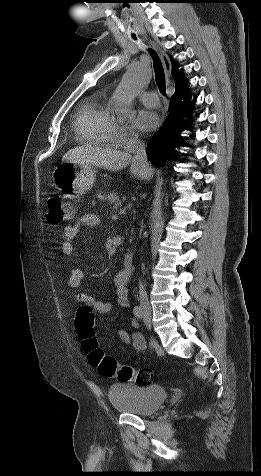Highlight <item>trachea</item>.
Segmentation results:
<instances>
[{"label":"trachea","instance_id":"obj_1","mask_svg":"<svg viewBox=\"0 0 261 476\" xmlns=\"http://www.w3.org/2000/svg\"><path fill=\"white\" fill-rule=\"evenodd\" d=\"M150 53L153 58L155 81L159 87L160 93L164 95L166 94V79H165L164 68L157 53L154 50H150Z\"/></svg>","mask_w":261,"mask_h":476}]
</instances>
